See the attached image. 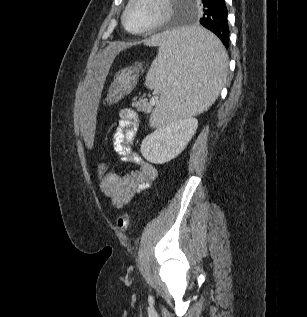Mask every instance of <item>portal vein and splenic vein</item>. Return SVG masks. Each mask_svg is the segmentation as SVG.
Here are the masks:
<instances>
[{
  "label": "portal vein and splenic vein",
  "mask_w": 307,
  "mask_h": 317,
  "mask_svg": "<svg viewBox=\"0 0 307 317\" xmlns=\"http://www.w3.org/2000/svg\"><path fill=\"white\" fill-rule=\"evenodd\" d=\"M158 100H159L158 95H155V96H153V97H152V99H151V103L155 104V103H157V102H158Z\"/></svg>",
  "instance_id": "18ae733b"
}]
</instances>
